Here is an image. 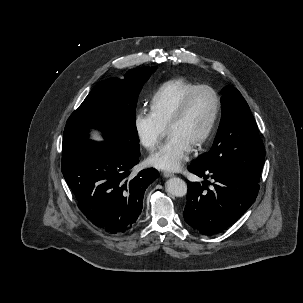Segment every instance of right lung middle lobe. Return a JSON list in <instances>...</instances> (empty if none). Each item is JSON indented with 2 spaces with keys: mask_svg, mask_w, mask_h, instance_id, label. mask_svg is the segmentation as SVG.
Returning a JSON list of instances; mask_svg holds the SVG:
<instances>
[{
  "mask_svg": "<svg viewBox=\"0 0 303 303\" xmlns=\"http://www.w3.org/2000/svg\"><path fill=\"white\" fill-rule=\"evenodd\" d=\"M155 67L129 70L123 80L99 82L68 118L63 133L62 152L89 140L92 128L102 131L105 141L131 156L140 155L135 127L138 94Z\"/></svg>",
  "mask_w": 303,
  "mask_h": 303,
  "instance_id": "1",
  "label": "right lung middle lobe"
}]
</instances>
